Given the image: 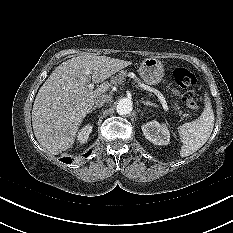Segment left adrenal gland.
I'll use <instances>...</instances> for the list:
<instances>
[{
    "instance_id": "a2214340",
    "label": "left adrenal gland",
    "mask_w": 233,
    "mask_h": 233,
    "mask_svg": "<svg viewBox=\"0 0 233 233\" xmlns=\"http://www.w3.org/2000/svg\"><path fill=\"white\" fill-rule=\"evenodd\" d=\"M141 103H143V104L146 105V106L149 105V106L157 107L156 104L151 103V102H149V101H144L143 99H141Z\"/></svg>"
}]
</instances>
